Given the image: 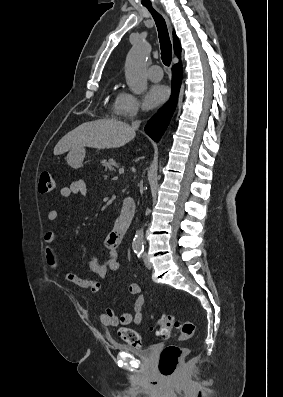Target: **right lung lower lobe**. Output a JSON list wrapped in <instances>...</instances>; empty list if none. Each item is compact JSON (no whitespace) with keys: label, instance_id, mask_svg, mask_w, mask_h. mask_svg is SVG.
Instances as JSON below:
<instances>
[{"label":"right lung lower lobe","instance_id":"right-lung-lower-lobe-1","mask_svg":"<svg viewBox=\"0 0 283 397\" xmlns=\"http://www.w3.org/2000/svg\"><path fill=\"white\" fill-rule=\"evenodd\" d=\"M172 74V95L170 101L149 121L145 127L146 134L154 140H158L164 133L175 110L182 79V67L180 63L173 66Z\"/></svg>","mask_w":283,"mask_h":397}]
</instances>
